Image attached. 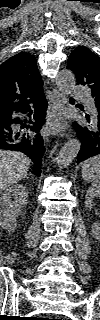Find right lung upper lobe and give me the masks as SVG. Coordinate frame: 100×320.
Instances as JSON below:
<instances>
[{"mask_svg":"<svg viewBox=\"0 0 100 320\" xmlns=\"http://www.w3.org/2000/svg\"><path fill=\"white\" fill-rule=\"evenodd\" d=\"M42 85L36 58L30 53L20 52L5 61L0 66V118L43 93Z\"/></svg>","mask_w":100,"mask_h":320,"instance_id":"right-lung-upper-lobe-1","label":"right lung upper lobe"}]
</instances>
